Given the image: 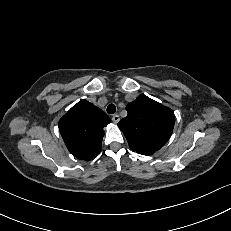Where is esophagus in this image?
<instances>
[{
  "mask_svg": "<svg viewBox=\"0 0 231 231\" xmlns=\"http://www.w3.org/2000/svg\"><path fill=\"white\" fill-rule=\"evenodd\" d=\"M119 120H120V117H119L118 114H114V115L112 116V121H113L114 123H118Z\"/></svg>",
  "mask_w": 231,
  "mask_h": 231,
  "instance_id": "esophagus-1",
  "label": "esophagus"
}]
</instances>
